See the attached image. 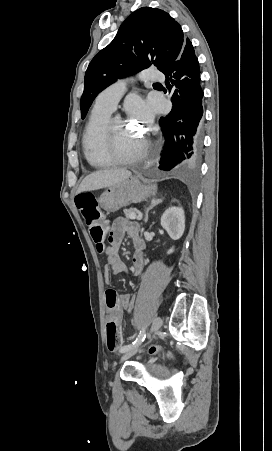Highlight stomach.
<instances>
[{
	"label": "stomach",
	"mask_w": 272,
	"mask_h": 451,
	"mask_svg": "<svg viewBox=\"0 0 272 451\" xmlns=\"http://www.w3.org/2000/svg\"><path fill=\"white\" fill-rule=\"evenodd\" d=\"M142 176H130L118 184L108 186L107 190L101 194L99 204L106 212H117L123 206L128 204H136V202H143L150 196H155L157 192L156 184L151 186H144L142 184Z\"/></svg>",
	"instance_id": "0dacf381"
}]
</instances>
